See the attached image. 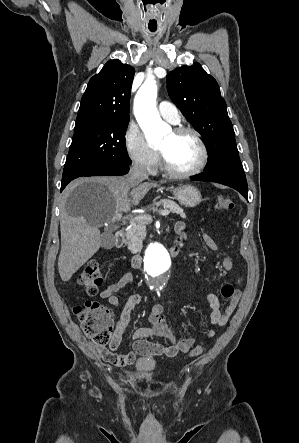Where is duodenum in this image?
Wrapping results in <instances>:
<instances>
[{"label": "duodenum", "mask_w": 299, "mask_h": 443, "mask_svg": "<svg viewBox=\"0 0 299 443\" xmlns=\"http://www.w3.org/2000/svg\"><path fill=\"white\" fill-rule=\"evenodd\" d=\"M123 233L124 232L122 229H119L116 232V235H115V246L116 247H121L123 245ZM181 249H182L181 244H179L177 242L174 243L169 249L170 256H172V257L178 256L181 252ZM131 266L135 269H140L142 266V257L138 254L133 255V257L131 259Z\"/></svg>", "instance_id": "duodenum-1"}]
</instances>
